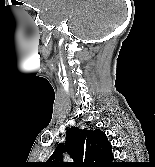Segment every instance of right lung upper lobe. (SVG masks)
Instances as JSON below:
<instances>
[{
    "label": "right lung upper lobe",
    "instance_id": "1",
    "mask_svg": "<svg viewBox=\"0 0 155 167\" xmlns=\"http://www.w3.org/2000/svg\"><path fill=\"white\" fill-rule=\"evenodd\" d=\"M66 145L59 144L44 167H111V144L104 132L88 127L67 129ZM67 151L74 162H63L62 153Z\"/></svg>",
    "mask_w": 155,
    "mask_h": 167
}]
</instances>
